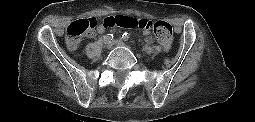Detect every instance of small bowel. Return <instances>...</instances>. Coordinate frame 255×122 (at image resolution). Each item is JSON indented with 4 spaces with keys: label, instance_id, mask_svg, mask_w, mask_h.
<instances>
[{
    "label": "small bowel",
    "instance_id": "obj_1",
    "mask_svg": "<svg viewBox=\"0 0 255 122\" xmlns=\"http://www.w3.org/2000/svg\"><path fill=\"white\" fill-rule=\"evenodd\" d=\"M106 19L105 18L98 26H97V29H96V32L98 34H103L107 29H109L111 26H109L106 22ZM144 34L147 35L146 37V42L147 43H152L153 42V38L151 36H149V31H144Z\"/></svg>",
    "mask_w": 255,
    "mask_h": 122
}]
</instances>
